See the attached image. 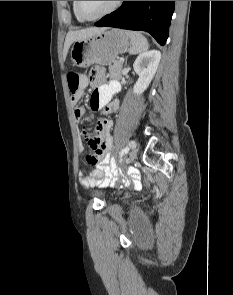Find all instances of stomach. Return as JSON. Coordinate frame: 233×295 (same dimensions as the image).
Masks as SVG:
<instances>
[{
	"instance_id": "1",
	"label": "stomach",
	"mask_w": 233,
	"mask_h": 295,
	"mask_svg": "<svg viewBox=\"0 0 233 295\" xmlns=\"http://www.w3.org/2000/svg\"><path fill=\"white\" fill-rule=\"evenodd\" d=\"M129 45L130 38L124 30L104 29L91 37L73 42L71 60L81 68L92 64L110 65L119 54L128 50Z\"/></svg>"
}]
</instances>
